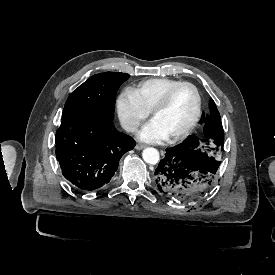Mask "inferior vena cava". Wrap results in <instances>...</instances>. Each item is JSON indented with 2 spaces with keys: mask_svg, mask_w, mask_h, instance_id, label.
I'll list each match as a JSON object with an SVG mask.
<instances>
[{
  "mask_svg": "<svg viewBox=\"0 0 275 275\" xmlns=\"http://www.w3.org/2000/svg\"><path fill=\"white\" fill-rule=\"evenodd\" d=\"M123 128H124L126 131L132 132V131H135L136 125L130 124V125L124 126Z\"/></svg>",
  "mask_w": 275,
  "mask_h": 275,
  "instance_id": "inferior-vena-cava-1",
  "label": "inferior vena cava"
}]
</instances>
